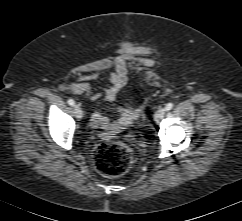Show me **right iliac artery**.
I'll use <instances>...</instances> for the list:
<instances>
[{
	"label": "right iliac artery",
	"mask_w": 242,
	"mask_h": 221,
	"mask_svg": "<svg viewBox=\"0 0 242 221\" xmlns=\"http://www.w3.org/2000/svg\"><path fill=\"white\" fill-rule=\"evenodd\" d=\"M68 104L71 105V106H74L75 105V102L73 99H69L68 100Z\"/></svg>",
	"instance_id": "82829eb1"
}]
</instances>
